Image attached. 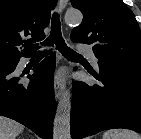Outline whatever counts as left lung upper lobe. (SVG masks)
Listing matches in <instances>:
<instances>
[{
	"label": "left lung upper lobe",
	"mask_w": 141,
	"mask_h": 139,
	"mask_svg": "<svg viewBox=\"0 0 141 139\" xmlns=\"http://www.w3.org/2000/svg\"><path fill=\"white\" fill-rule=\"evenodd\" d=\"M83 13L71 40L93 44L99 62L141 67V34L133 12L122 0H71Z\"/></svg>",
	"instance_id": "5c2ea615"
}]
</instances>
